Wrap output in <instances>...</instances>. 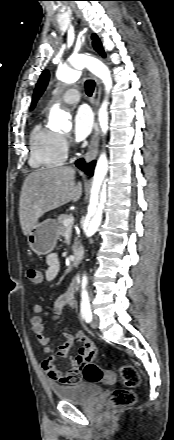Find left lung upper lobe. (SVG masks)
<instances>
[{
	"mask_svg": "<svg viewBox=\"0 0 174 440\" xmlns=\"http://www.w3.org/2000/svg\"><path fill=\"white\" fill-rule=\"evenodd\" d=\"M92 39H93V46L94 49L103 57H105V53L104 50L102 48V44L100 42V40L98 39L96 34L92 35ZM48 79H49V73L47 70L43 71V73L41 74L38 83L36 85L34 94H33V98H32V109L34 108L37 100L39 99V97L42 95V93L44 92L47 84H48Z\"/></svg>",
	"mask_w": 174,
	"mask_h": 440,
	"instance_id": "obj_1",
	"label": "left lung upper lobe"
}]
</instances>
